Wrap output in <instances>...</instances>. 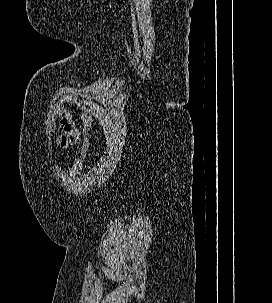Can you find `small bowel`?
<instances>
[{
    "mask_svg": "<svg viewBox=\"0 0 272 303\" xmlns=\"http://www.w3.org/2000/svg\"><path fill=\"white\" fill-rule=\"evenodd\" d=\"M61 135L57 140V144L61 149L68 147L77 142L78 130L72 119V116L68 112H62L59 118Z\"/></svg>",
    "mask_w": 272,
    "mask_h": 303,
    "instance_id": "small-bowel-1",
    "label": "small bowel"
}]
</instances>
